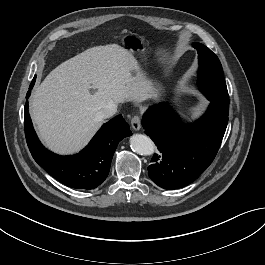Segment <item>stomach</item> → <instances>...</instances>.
I'll list each match as a JSON object with an SVG mask.
<instances>
[{
    "instance_id": "1",
    "label": "stomach",
    "mask_w": 265,
    "mask_h": 265,
    "mask_svg": "<svg viewBox=\"0 0 265 265\" xmlns=\"http://www.w3.org/2000/svg\"><path fill=\"white\" fill-rule=\"evenodd\" d=\"M124 44L130 49L131 52L134 51H142L144 48L143 40L138 35H130L124 39ZM154 95H158V92L156 89L153 88Z\"/></svg>"
}]
</instances>
